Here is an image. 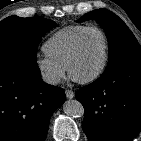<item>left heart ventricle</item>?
Listing matches in <instances>:
<instances>
[{
    "label": "left heart ventricle",
    "instance_id": "b2bd125f",
    "mask_svg": "<svg viewBox=\"0 0 141 141\" xmlns=\"http://www.w3.org/2000/svg\"><path fill=\"white\" fill-rule=\"evenodd\" d=\"M105 44L97 31L88 32L83 38L79 54L72 64L73 77L83 79L94 74L104 57Z\"/></svg>",
    "mask_w": 141,
    "mask_h": 141
}]
</instances>
